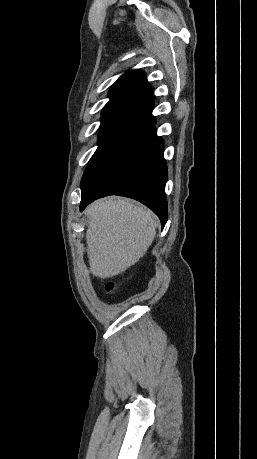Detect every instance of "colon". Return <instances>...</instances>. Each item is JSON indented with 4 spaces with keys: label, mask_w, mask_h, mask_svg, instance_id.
Wrapping results in <instances>:
<instances>
[{
    "label": "colon",
    "mask_w": 257,
    "mask_h": 459,
    "mask_svg": "<svg viewBox=\"0 0 257 459\" xmlns=\"http://www.w3.org/2000/svg\"><path fill=\"white\" fill-rule=\"evenodd\" d=\"M105 289L107 292H113L116 289V285L112 282L107 283Z\"/></svg>",
    "instance_id": "5ec220e1"
}]
</instances>
